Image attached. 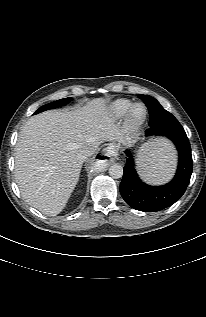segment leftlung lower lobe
Listing matches in <instances>:
<instances>
[{
  "mask_svg": "<svg viewBox=\"0 0 206 317\" xmlns=\"http://www.w3.org/2000/svg\"><path fill=\"white\" fill-rule=\"evenodd\" d=\"M170 139L176 146L179 154L178 169L175 177L166 185L149 186L138 177L134 160L130 150H126L127 162L120 184V193L126 203L132 208L157 212L175 203L185 192L191 178L193 161L190 143L185 131H166L158 134Z\"/></svg>",
  "mask_w": 206,
  "mask_h": 317,
  "instance_id": "left-lung-lower-lobe-1",
  "label": "left lung lower lobe"
}]
</instances>
